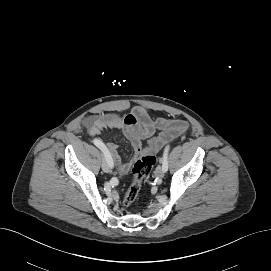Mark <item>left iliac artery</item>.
I'll return each mask as SVG.
<instances>
[{
	"mask_svg": "<svg viewBox=\"0 0 271 271\" xmlns=\"http://www.w3.org/2000/svg\"><path fill=\"white\" fill-rule=\"evenodd\" d=\"M169 148H170L169 145H167L165 147L164 152H163V157L161 158L162 168H163L164 172H166L168 170L167 158H168Z\"/></svg>",
	"mask_w": 271,
	"mask_h": 271,
	"instance_id": "1",
	"label": "left iliac artery"
}]
</instances>
